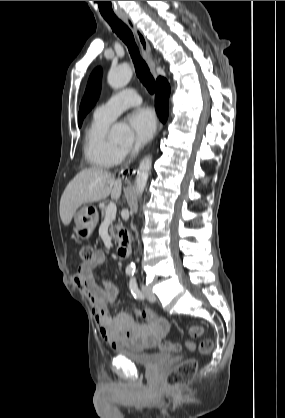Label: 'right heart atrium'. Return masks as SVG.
<instances>
[{"label": "right heart atrium", "instance_id": "d8ad5b80", "mask_svg": "<svg viewBox=\"0 0 285 418\" xmlns=\"http://www.w3.org/2000/svg\"><path fill=\"white\" fill-rule=\"evenodd\" d=\"M132 152V148L131 147H119V154L121 158H124L128 155H130Z\"/></svg>", "mask_w": 285, "mask_h": 418}]
</instances>
